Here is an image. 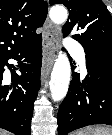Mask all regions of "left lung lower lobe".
<instances>
[{"mask_svg": "<svg viewBox=\"0 0 112 135\" xmlns=\"http://www.w3.org/2000/svg\"><path fill=\"white\" fill-rule=\"evenodd\" d=\"M86 68L83 81L73 73L57 114L59 135L93 124L112 125V57L86 54Z\"/></svg>", "mask_w": 112, "mask_h": 135, "instance_id": "left-lung-lower-lobe-1", "label": "left lung lower lobe"}]
</instances>
